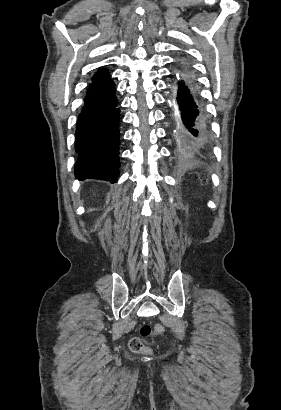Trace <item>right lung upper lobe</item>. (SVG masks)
Returning <instances> with one entry per match:
<instances>
[{
    "mask_svg": "<svg viewBox=\"0 0 281 410\" xmlns=\"http://www.w3.org/2000/svg\"><path fill=\"white\" fill-rule=\"evenodd\" d=\"M110 75L108 71L105 69L98 71L95 76L93 77L92 83L90 84L89 89H93L95 87L101 86L108 81H110Z\"/></svg>",
    "mask_w": 281,
    "mask_h": 410,
    "instance_id": "right-lung-upper-lobe-1",
    "label": "right lung upper lobe"
}]
</instances>
